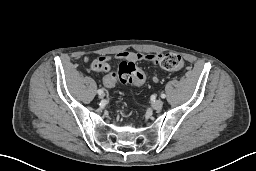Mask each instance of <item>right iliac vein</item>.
I'll list each match as a JSON object with an SVG mask.
<instances>
[{
    "instance_id": "63e3f726",
    "label": "right iliac vein",
    "mask_w": 256,
    "mask_h": 171,
    "mask_svg": "<svg viewBox=\"0 0 256 171\" xmlns=\"http://www.w3.org/2000/svg\"><path fill=\"white\" fill-rule=\"evenodd\" d=\"M104 97H105V94H104V93L99 94V98H100V99H103Z\"/></svg>"
}]
</instances>
